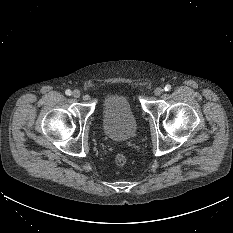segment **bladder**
<instances>
[{
    "instance_id": "obj_1",
    "label": "bladder",
    "mask_w": 233,
    "mask_h": 233,
    "mask_svg": "<svg viewBox=\"0 0 233 233\" xmlns=\"http://www.w3.org/2000/svg\"><path fill=\"white\" fill-rule=\"evenodd\" d=\"M102 131L114 141H127L135 136L137 121L126 95L113 93L105 98Z\"/></svg>"
}]
</instances>
